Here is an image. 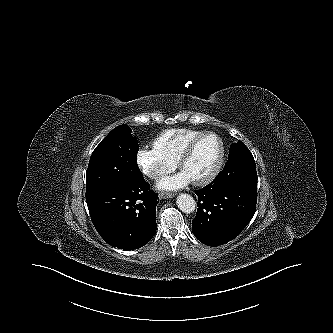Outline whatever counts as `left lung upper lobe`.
Instances as JSON below:
<instances>
[{
    "instance_id": "5c2ea615",
    "label": "left lung upper lobe",
    "mask_w": 333,
    "mask_h": 333,
    "mask_svg": "<svg viewBox=\"0 0 333 333\" xmlns=\"http://www.w3.org/2000/svg\"><path fill=\"white\" fill-rule=\"evenodd\" d=\"M225 168L228 169L227 173L234 172L238 183L257 189L255 161L252 153L243 142L238 141L230 145Z\"/></svg>"
}]
</instances>
